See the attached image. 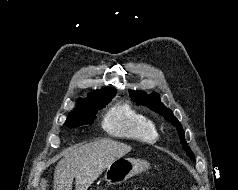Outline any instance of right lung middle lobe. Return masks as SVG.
Masks as SVG:
<instances>
[{
    "label": "right lung middle lobe",
    "mask_w": 238,
    "mask_h": 190,
    "mask_svg": "<svg viewBox=\"0 0 238 190\" xmlns=\"http://www.w3.org/2000/svg\"><path fill=\"white\" fill-rule=\"evenodd\" d=\"M115 92L105 95L95 96L85 101V105L81 108L74 109L66 120V126L73 128L91 124L95 119L98 109L107 105L114 97Z\"/></svg>",
    "instance_id": "obj_1"
}]
</instances>
